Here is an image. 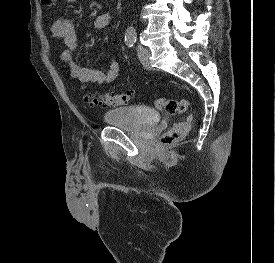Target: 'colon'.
Listing matches in <instances>:
<instances>
[{
    "label": "colon",
    "mask_w": 275,
    "mask_h": 263,
    "mask_svg": "<svg viewBox=\"0 0 275 263\" xmlns=\"http://www.w3.org/2000/svg\"><path fill=\"white\" fill-rule=\"evenodd\" d=\"M42 4L54 8L57 0H41ZM86 100L92 106L116 107L132 103L135 99L134 92L108 93L101 95H87ZM155 106L158 110L168 115H184V119L175 123L160 137V143L164 146H171L184 138L190 131L194 116L190 101L187 98L169 99L157 98Z\"/></svg>",
    "instance_id": "colon-1"
}]
</instances>
